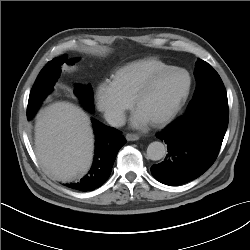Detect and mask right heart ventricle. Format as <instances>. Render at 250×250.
<instances>
[{
	"label": "right heart ventricle",
	"mask_w": 250,
	"mask_h": 250,
	"mask_svg": "<svg viewBox=\"0 0 250 250\" xmlns=\"http://www.w3.org/2000/svg\"><path fill=\"white\" fill-rule=\"evenodd\" d=\"M168 67L171 65L154 57L137 59L115 70L111 75V82L118 91L133 100L150 76Z\"/></svg>",
	"instance_id": "obj_1"
}]
</instances>
